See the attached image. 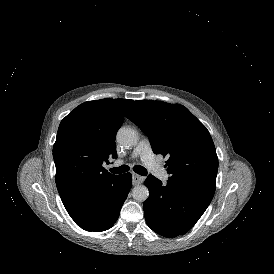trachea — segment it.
I'll list each match as a JSON object with an SVG mask.
<instances>
[{
  "label": "trachea",
  "mask_w": 274,
  "mask_h": 274,
  "mask_svg": "<svg viewBox=\"0 0 274 274\" xmlns=\"http://www.w3.org/2000/svg\"><path fill=\"white\" fill-rule=\"evenodd\" d=\"M133 170L140 175H143V176L147 175V170L140 165L134 166ZM110 171L114 174H121L129 171V167L127 165H122L120 167H113L110 169Z\"/></svg>",
  "instance_id": "trachea-1"
}]
</instances>
